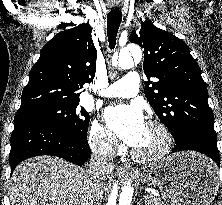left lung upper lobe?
Wrapping results in <instances>:
<instances>
[{
	"mask_svg": "<svg viewBox=\"0 0 222 205\" xmlns=\"http://www.w3.org/2000/svg\"><path fill=\"white\" fill-rule=\"evenodd\" d=\"M130 42L144 48V73L156 78L145 82V96L174 139L195 128L215 132L207 87L188 46L147 21L132 31Z\"/></svg>",
	"mask_w": 222,
	"mask_h": 205,
	"instance_id": "5c2ea615",
	"label": "left lung upper lobe"
}]
</instances>
